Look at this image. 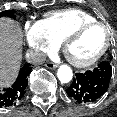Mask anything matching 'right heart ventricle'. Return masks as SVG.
<instances>
[{
  "mask_svg": "<svg viewBox=\"0 0 117 117\" xmlns=\"http://www.w3.org/2000/svg\"><path fill=\"white\" fill-rule=\"evenodd\" d=\"M91 21H96V18L90 13L73 8L49 12L45 15L42 23L52 37L61 42L76 27Z\"/></svg>",
  "mask_w": 117,
  "mask_h": 117,
  "instance_id": "1",
  "label": "right heart ventricle"
}]
</instances>
